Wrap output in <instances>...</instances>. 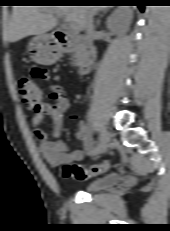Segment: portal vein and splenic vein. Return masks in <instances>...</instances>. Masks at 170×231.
Here are the masks:
<instances>
[{
    "label": "portal vein and splenic vein",
    "instance_id": "portal-vein-and-splenic-vein-1",
    "mask_svg": "<svg viewBox=\"0 0 170 231\" xmlns=\"http://www.w3.org/2000/svg\"><path fill=\"white\" fill-rule=\"evenodd\" d=\"M68 26H69V28H70V30L72 32H76L77 31V27H76V25L74 23H68Z\"/></svg>",
    "mask_w": 170,
    "mask_h": 231
}]
</instances>
